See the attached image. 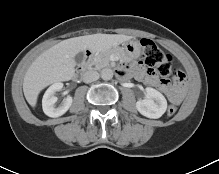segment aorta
Segmentation results:
<instances>
[{"instance_id":"aorta-1","label":"aorta","mask_w":219,"mask_h":174,"mask_svg":"<svg viewBox=\"0 0 219 174\" xmlns=\"http://www.w3.org/2000/svg\"><path fill=\"white\" fill-rule=\"evenodd\" d=\"M113 77V71L110 68H105L101 71V78L103 80H111Z\"/></svg>"}]
</instances>
